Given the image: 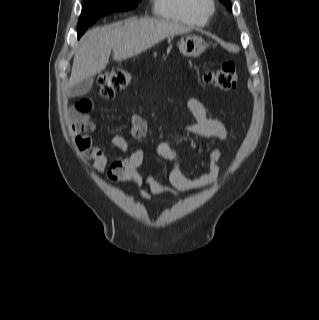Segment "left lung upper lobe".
Instances as JSON below:
<instances>
[{"label": "left lung upper lobe", "instance_id": "left-lung-upper-lobe-1", "mask_svg": "<svg viewBox=\"0 0 319 320\" xmlns=\"http://www.w3.org/2000/svg\"><path fill=\"white\" fill-rule=\"evenodd\" d=\"M220 1L223 2V4L227 7V9L232 11L231 1L230 0H220Z\"/></svg>", "mask_w": 319, "mask_h": 320}]
</instances>
